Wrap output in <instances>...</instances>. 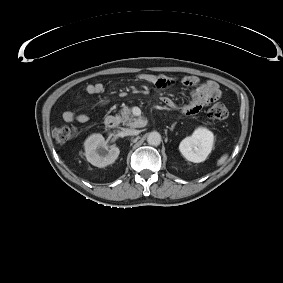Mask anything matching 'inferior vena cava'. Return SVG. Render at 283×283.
Masks as SVG:
<instances>
[{"label":"inferior vena cava","mask_w":283,"mask_h":283,"mask_svg":"<svg viewBox=\"0 0 283 283\" xmlns=\"http://www.w3.org/2000/svg\"><path fill=\"white\" fill-rule=\"evenodd\" d=\"M124 133L126 135H130V136H133V135H138L139 134V131L136 130V129H125Z\"/></svg>","instance_id":"1"}]
</instances>
